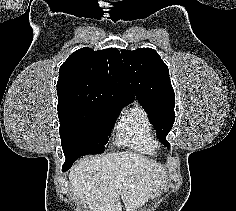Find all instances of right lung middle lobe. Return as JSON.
<instances>
[{
  "instance_id": "dd1d6c3e",
  "label": "right lung middle lobe",
  "mask_w": 236,
  "mask_h": 211,
  "mask_svg": "<svg viewBox=\"0 0 236 211\" xmlns=\"http://www.w3.org/2000/svg\"><path fill=\"white\" fill-rule=\"evenodd\" d=\"M57 110L61 145L66 158L103 153L121 111L118 108L90 106H71Z\"/></svg>"
}]
</instances>
